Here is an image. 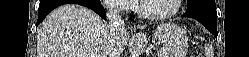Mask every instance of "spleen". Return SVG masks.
I'll return each mask as SVG.
<instances>
[{
  "instance_id": "1",
  "label": "spleen",
  "mask_w": 249,
  "mask_h": 57,
  "mask_svg": "<svg viewBox=\"0 0 249 57\" xmlns=\"http://www.w3.org/2000/svg\"><path fill=\"white\" fill-rule=\"evenodd\" d=\"M206 56H207V57H212V56H210V50H207V51H206Z\"/></svg>"
}]
</instances>
